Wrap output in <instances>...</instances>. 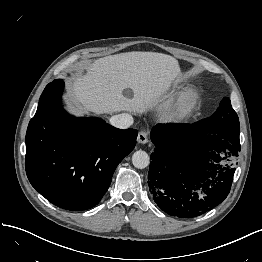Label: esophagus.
I'll use <instances>...</instances> for the list:
<instances>
[{"label": "esophagus", "instance_id": "34e87169", "mask_svg": "<svg viewBox=\"0 0 262 262\" xmlns=\"http://www.w3.org/2000/svg\"><path fill=\"white\" fill-rule=\"evenodd\" d=\"M137 141L138 143L140 144H145L149 141V137H148V134L147 132L145 131H140L138 136H137Z\"/></svg>", "mask_w": 262, "mask_h": 262}]
</instances>
